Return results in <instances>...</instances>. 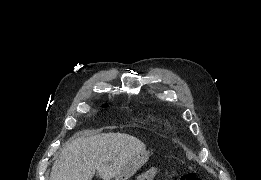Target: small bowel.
Returning a JSON list of instances; mask_svg holds the SVG:
<instances>
[{
	"instance_id": "c3829d8e",
	"label": "small bowel",
	"mask_w": 261,
	"mask_h": 180,
	"mask_svg": "<svg viewBox=\"0 0 261 180\" xmlns=\"http://www.w3.org/2000/svg\"><path fill=\"white\" fill-rule=\"evenodd\" d=\"M160 172V168L159 167H152L149 170H147L146 172L142 173L139 176L140 180H152L154 179Z\"/></svg>"
}]
</instances>
